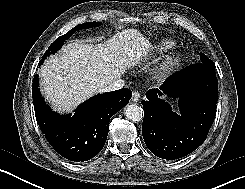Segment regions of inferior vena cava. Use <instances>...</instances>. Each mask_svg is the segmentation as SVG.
<instances>
[{"label":"inferior vena cava","mask_w":245,"mask_h":189,"mask_svg":"<svg viewBox=\"0 0 245 189\" xmlns=\"http://www.w3.org/2000/svg\"><path fill=\"white\" fill-rule=\"evenodd\" d=\"M124 85H125L124 80L116 79V80L112 81L109 85L105 86L102 89V91L103 92L115 91V90L123 88Z\"/></svg>","instance_id":"602c4592"}]
</instances>
